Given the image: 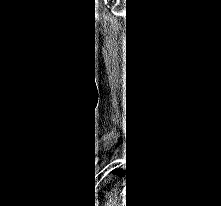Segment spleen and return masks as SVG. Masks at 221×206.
<instances>
[{"label":"spleen","mask_w":221,"mask_h":206,"mask_svg":"<svg viewBox=\"0 0 221 206\" xmlns=\"http://www.w3.org/2000/svg\"><path fill=\"white\" fill-rule=\"evenodd\" d=\"M123 199V198H122ZM116 206V201H114V200H112V199H110L109 201H108V203H107V206Z\"/></svg>","instance_id":"obj_1"}]
</instances>
